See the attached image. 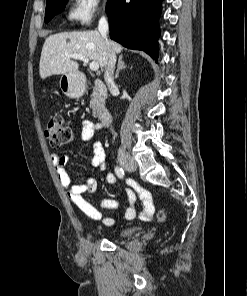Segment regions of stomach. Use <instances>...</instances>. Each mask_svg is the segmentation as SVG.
<instances>
[{
    "label": "stomach",
    "mask_w": 247,
    "mask_h": 296,
    "mask_svg": "<svg viewBox=\"0 0 247 296\" xmlns=\"http://www.w3.org/2000/svg\"><path fill=\"white\" fill-rule=\"evenodd\" d=\"M60 87L64 94L71 98H77L83 94V85L76 73L63 74L60 78Z\"/></svg>",
    "instance_id": "obj_1"
}]
</instances>
